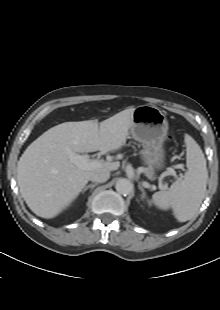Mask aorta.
Masks as SVG:
<instances>
[{"label":"aorta","mask_w":220,"mask_h":310,"mask_svg":"<svg viewBox=\"0 0 220 310\" xmlns=\"http://www.w3.org/2000/svg\"><path fill=\"white\" fill-rule=\"evenodd\" d=\"M115 188L119 194L128 195L131 193L133 185L128 179L121 178L116 182Z\"/></svg>","instance_id":"762f6f07"}]
</instances>
